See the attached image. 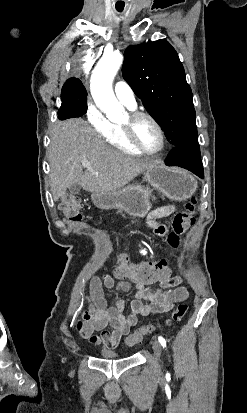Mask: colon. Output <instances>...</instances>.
<instances>
[{
  "label": "colon",
  "mask_w": 247,
  "mask_h": 413,
  "mask_svg": "<svg viewBox=\"0 0 247 413\" xmlns=\"http://www.w3.org/2000/svg\"><path fill=\"white\" fill-rule=\"evenodd\" d=\"M195 205L196 199L193 197L187 203L184 211L179 212L174 221L172 227L175 229L172 233L165 235V240L169 242L170 246H175L180 243L179 238L181 234H187L188 227L195 223ZM60 209L65 217L70 221H79L82 218V202L75 196H64ZM115 267L113 268V275L116 278H123L124 276L132 275L136 281L142 286L147 285L149 282L166 276L169 273V262L166 259H159L156 263L146 262L143 265L140 263H132L128 261V257L125 254H117L114 257ZM189 310L188 304H179L171 314L165 319L164 325L172 327L179 323L187 314ZM156 330V325L149 323L137 328L124 342L125 346H132L139 344L143 341L144 336Z\"/></svg>",
  "instance_id": "1"
}]
</instances>
